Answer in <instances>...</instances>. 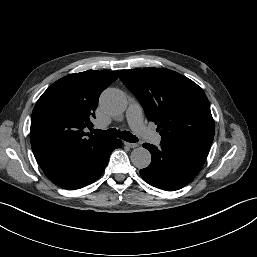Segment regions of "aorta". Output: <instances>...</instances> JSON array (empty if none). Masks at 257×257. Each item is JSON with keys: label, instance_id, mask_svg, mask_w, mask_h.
Returning <instances> with one entry per match:
<instances>
[{"label": "aorta", "instance_id": "1", "mask_svg": "<svg viewBox=\"0 0 257 257\" xmlns=\"http://www.w3.org/2000/svg\"><path fill=\"white\" fill-rule=\"evenodd\" d=\"M127 104L125 94L118 89H106L100 97V106L102 109L113 116L121 115L126 110ZM130 159L135 167L143 169L150 165L151 154L147 149L138 147L133 149Z\"/></svg>", "mask_w": 257, "mask_h": 257}]
</instances>
